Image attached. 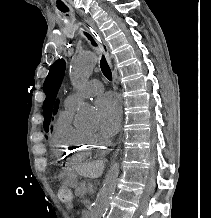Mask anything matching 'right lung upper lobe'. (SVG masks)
I'll return each instance as SVG.
<instances>
[{"label": "right lung upper lobe", "instance_id": "1", "mask_svg": "<svg viewBox=\"0 0 211 218\" xmlns=\"http://www.w3.org/2000/svg\"><path fill=\"white\" fill-rule=\"evenodd\" d=\"M57 108H58V102H57L56 105H55L54 113H56Z\"/></svg>", "mask_w": 211, "mask_h": 218}]
</instances>
